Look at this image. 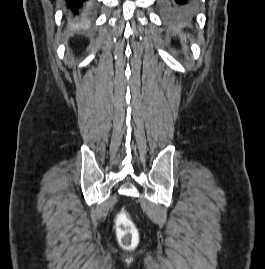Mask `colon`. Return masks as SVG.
<instances>
[{
    "instance_id": "obj_1",
    "label": "colon",
    "mask_w": 265,
    "mask_h": 269,
    "mask_svg": "<svg viewBox=\"0 0 265 269\" xmlns=\"http://www.w3.org/2000/svg\"><path fill=\"white\" fill-rule=\"evenodd\" d=\"M117 227L120 242L123 245L132 244L137 237L136 227L125 213H120L117 217Z\"/></svg>"
}]
</instances>
